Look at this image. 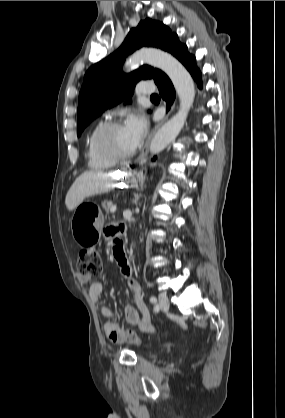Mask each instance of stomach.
I'll use <instances>...</instances> for the list:
<instances>
[{"instance_id": "stomach-1", "label": "stomach", "mask_w": 285, "mask_h": 418, "mask_svg": "<svg viewBox=\"0 0 285 418\" xmlns=\"http://www.w3.org/2000/svg\"><path fill=\"white\" fill-rule=\"evenodd\" d=\"M138 175L136 171L129 170L121 174V179L127 185L134 186ZM71 230L74 239L79 244L85 245L84 243L90 238H98L101 228L91 219L90 214L79 205L71 218Z\"/></svg>"}]
</instances>
